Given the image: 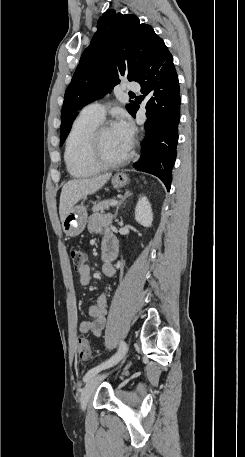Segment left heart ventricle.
<instances>
[{"label": "left heart ventricle", "instance_id": "1", "mask_svg": "<svg viewBox=\"0 0 245 457\" xmlns=\"http://www.w3.org/2000/svg\"><path fill=\"white\" fill-rule=\"evenodd\" d=\"M128 144L119 136L114 128H109L93 143L91 154L97 160L114 159L128 150Z\"/></svg>", "mask_w": 245, "mask_h": 457}]
</instances>
